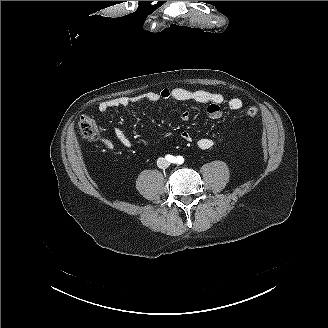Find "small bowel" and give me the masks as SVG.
<instances>
[{"mask_svg": "<svg viewBox=\"0 0 328 328\" xmlns=\"http://www.w3.org/2000/svg\"><path fill=\"white\" fill-rule=\"evenodd\" d=\"M174 99L177 101H194L198 103H207L208 106L205 110L207 117L210 119H219L222 114V106L226 105L232 111H239L243 107V102L240 98L233 97L226 99L222 93L212 92L208 90H189L181 87L176 88H163L160 91H147L136 96H121L109 100H105L99 103L98 110L100 113H106L110 109L126 107L134 103L143 101L157 102L159 100ZM180 120L188 121L190 118V112L185 110L180 113ZM115 137L124 147H131V140L125 135V133L116 128L114 131ZM170 136L169 132L164 133L163 137ZM181 138L186 142H192L194 140L193 134L184 130L181 132ZM104 145L112 150L114 148L113 143L110 140H103ZM214 145V141L209 137H201L197 140V146L202 150H208Z\"/></svg>", "mask_w": 328, "mask_h": 328, "instance_id": "obj_1", "label": "small bowel"}]
</instances>
